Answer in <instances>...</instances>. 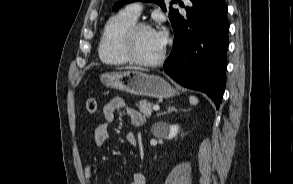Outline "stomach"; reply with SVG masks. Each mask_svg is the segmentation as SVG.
Segmentation results:
<instances>
[{"label": "stomach", "mask_w": 293, "mask_h": 184, "mask_svg": "<svg viewBox=\"0 0 293 184\" xmlns=\"http://www.w3.org/2000/svg\"><path fill=\"white\" fill-rule=\"evenodd\" d=\"M101 82L109 88L121 90L132 95L152 98H169L176 91L163 78L140 71L111 72L101 75Z\"/></svg>", "instance_id": "stomach-1"}]
</instances>
